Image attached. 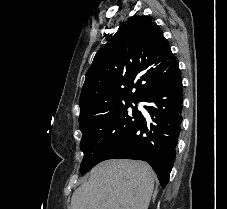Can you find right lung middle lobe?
<instances>
[{
  "instance_id": "1",
  "label": "right lung middle lobe",
  "mask_w": 227,
  "mask_h": 209,
  "mask_svg": "<svg viewBox=\"0 0 227 209\" xmlns=\"http://www.w3.org/2000/svg\"><path fill=\"white\" fill-rule=\"evenodd\" d=\"M137 100L107 98L102 101L105 110L98 115L79 119L82 132L80 149L84 158L80 172L87 173L113 148L141 117V112L131 103ZM131 107V111H127Z\"/></svg>"
}]
</instances>
